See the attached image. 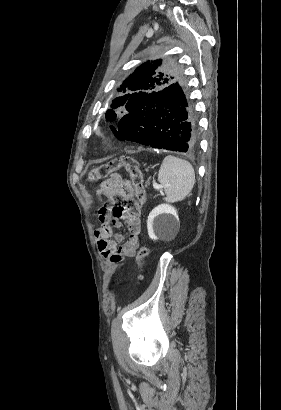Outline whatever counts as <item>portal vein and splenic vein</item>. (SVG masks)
Listing matches in <instances>:
<instances>
[{
    "label": "portal vein and splenic vein",
    "mask_w": 281,
    "mask_h": 410,
    "mask_svg": "<svg viewBox=\"0 0 281 410\" xmlns=\"http://www.w3.org/2000/svg\"><path fill=\"white\" fill-rule=\"evenodd\" d=\"M153 187L155 188V189H160L161 188V186L160 185H158L157 183H153Z\"/></svg>",
    "instance_id": "portal-vein-and-splenic-vein-1"
}]
</instances>
